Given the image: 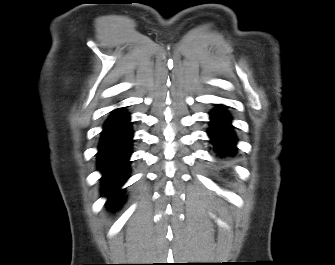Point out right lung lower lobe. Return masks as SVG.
Listing matches in <instances>:
<instances>
[{
    "label": "right lung lower lobe",
    "instance_id": "1",
    "mask_svg": "<svg viewBox=\"0 0 335 265\" xmlns=\"http://www.w3.org/2000/svg\"><path fill=\"white\" fill-rule=\"evenodd\" d=\"M133 131L129 114L116 109L106 121L98 147V166L102 176L103 194L109 196V205H119L124 197L118 189L129 174Z\"/></svg>",
    "mask_w": 335,
    "mask_h": 265
}]
</instances>
